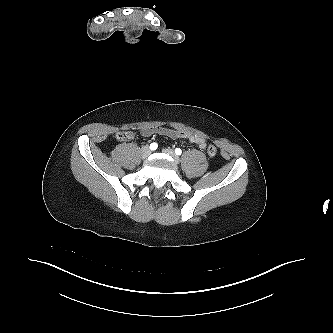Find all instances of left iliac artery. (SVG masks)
<instances>
[{
	"label": "left iliac artery",
	"instance_id": "left-iliac-artery-1",
	"mask_svg": "<svg viewBox=\"0 0 333 333\" xmlns=\"http://www.w3.org/2000/svg\"><path fill=\"white\" fill-rule=\"evenodd\" d=\"M175 153H176L177 155H180V154L182 153V150H181L180 148H176V149H175Z\"/></svg>",
	"mask_w": 333,
	"mask_h": 333
}]
</instances>
